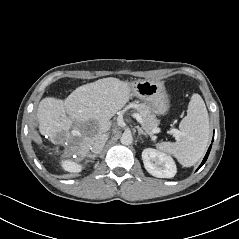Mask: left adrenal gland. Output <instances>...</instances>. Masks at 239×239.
Returning <instances> with one entry per match:
<instances>
[{
	"mask_svg": "<svg viewBox=\"0 0 239 239\" xmlns=\"http://www.w3.org/2000/svg\"><path fill=\"white\" fill-rule=\"evenodd\" d=\"M137 130H138V134L139 135H144V136H146L147 137V133L146 132H144L141 128H139V127H137Z\"/></svg>",
	"mask_w": 239,
	"mask_h": 239,
	"instance_id": "left-adrenal-gland-1",
	"label": "left adrenal gland"
}]
</instances>
